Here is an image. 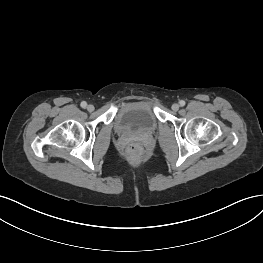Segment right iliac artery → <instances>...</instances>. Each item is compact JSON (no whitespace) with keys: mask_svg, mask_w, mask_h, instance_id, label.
<instances>
[{"mask_svg":"<svg viewBox=\"0 0 263 263\" xmlns=\"http://www.w3.org/2000/svg\"><path fill=\"white\" fill-rule=\"evenodd\" d=\"M86 106H87V103L85 101L81 102V107L82 108H86Z\"/></svg>","mask_w":263,"mask_h":263,"instance_id":"82829eb1","label":"right iliac artery"}]
</instances>
